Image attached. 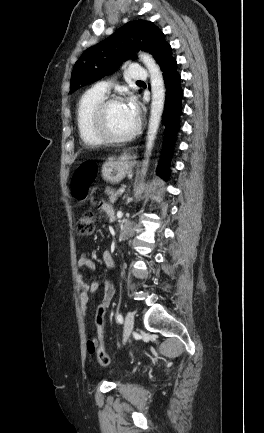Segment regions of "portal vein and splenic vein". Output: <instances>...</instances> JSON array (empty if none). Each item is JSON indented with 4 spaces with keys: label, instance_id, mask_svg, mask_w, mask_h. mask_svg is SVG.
<instances>
[{
    "label": "portal vein and splenic vein",
    "instance_id": "18ae733b",
    "mask_svg": "<svg viewBox=\"0 0 264 433\" xmlns=\"http://www.w3.org/2000/svg\"><path fill=\"white\" fill-rule=\"evenodd\" d=\"M124 191H125L124 188H120V189L118 190V193H119V194H122V193H124Z\"/></svg>",
    "mask_w": 264,
    "mask_h": 433
}]
</instances>
